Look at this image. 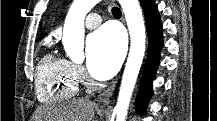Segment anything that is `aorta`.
<instances>
[{
  "mask_svg": "<svg viewBox=\"0 0 217 121\" xmlns=\"http://www.w3.org/2000/svg\"><path fill=\"white\" fill-rule=\"evenodd\" d=\"M99 0H74L65 19L62 43L67 55L74 61L84 58V20ZM129 34L130 51L124 69L117 104L116 121H125L133 89L145 53V25L138 0H119Z\"/></svg>",
  "mask_w": 217,
  "mask_h": 121,
  "instance_id": "aorta-1",
  "label": "aorta"
}]
</instances>
